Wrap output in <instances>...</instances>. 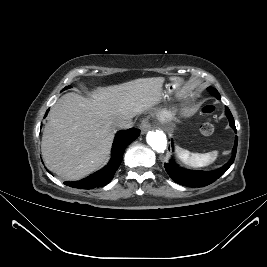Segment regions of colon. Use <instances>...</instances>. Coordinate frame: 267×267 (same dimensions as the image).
<instances>
[{
    "label": "colon",
    "instance_id": "colon-1",
    "mask_svg": "<svg viewBox=\"0 0 267 267\" xmlns=\"http://www.w3.org/2000/svg\"><path fill=\"white\" fill-rule=\"evenodd\" d=\"M203 111L207 114H211L214 111V107L212 105H206L203 108ZM201 133L205 136H209L212 135L214 132V125L212 122L207 121L205 123L202 124L201 128Z\"/></svg>",
    "mask_w": 267,
    "mask_h": 267
}]
</instances>
